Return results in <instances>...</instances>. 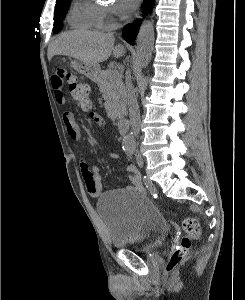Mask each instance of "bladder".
<instances>
[{
  "mask_svg": "<svg viewBox=\"0 0 245 300\" xmlns=\"http://www.w3.org/2000/svg\"><path fill=\"white\" fill-rule=\"evenodd\" d=\"M113 248L150 253L169 235V225L151 200L132 189L106 192L97 203Z\"/></svg>",
  "mask_w": 245,
  "mask_h": 300,
  "instance_id": "31cf9c89",
  "label": "bladder"
}]
</instances>
